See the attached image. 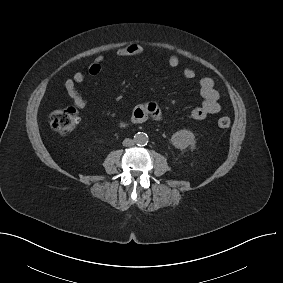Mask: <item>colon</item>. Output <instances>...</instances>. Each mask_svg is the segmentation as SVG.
<instances>
[{
	"label": "colon",
	"mask_w": 283,
	"mask_h": 283,
	"mask_svg": "<svg viewBox=\"0 0 283 283\" xmlns=\"http://www.w3.org/2000/svg\"><path fill=\"white\" fill-rule=\"evenodd\" d=\"M79 122L77 110L73 107L56 109L49 115L51 127L60 134H69L75 130ZM217 124L220 128L226 129L231 125V119L222 116L218 119Z\"/></svg>",
	"instance_id": "1"
}]
</instances>
